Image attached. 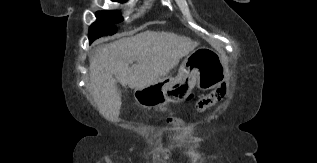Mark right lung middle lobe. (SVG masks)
Returning a JSON list of instances; mask_svg holds the SVG:
<instances>
[{
    "mask_svg": "<svg viewBox=\"0 0 317 163\" xmlns=\"http://www.w3.org/2000/svg\"><path fill=\"white\" fill-rule=\"evenodd\" d=\"M115 2L124 3L127 0H112ZM97 21L94 22L89 29V42L101 36L112 35L117 31L116 26L113 23H117L122 20V16L117 11H100L96 13Z\"/></svg>",
    "mask_w": 317,
    "mask_h": 163,
    "instance_id": "right-lung-middle-lobe-1",
    "label": "right lung middle lobe"
}]
</instances>
